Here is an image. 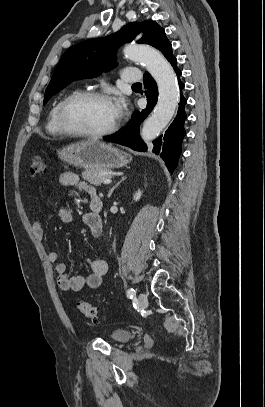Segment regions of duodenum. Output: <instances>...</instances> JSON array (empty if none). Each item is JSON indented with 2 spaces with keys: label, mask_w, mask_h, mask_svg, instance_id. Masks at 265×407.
Instances as JSON below:
<instances>
[{
  "label": "duodenum",
  "mask_w": 265,
  "mask_h": 407,
  "mask_svg": "<svg viewBox=\"0 0 265 407\" xmlns=\"http://www.w3.org/2000/svg\"><path fill=\"white\" fill-rule=\"evenodd\" d=\"M91 208L95 213H100L103 210V202L100 198H94L91 201Z\"/></svg>",
  "instance_id": "1"
}]
</instances>
